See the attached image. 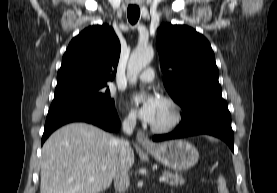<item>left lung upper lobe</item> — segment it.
Returning <instances> with one entry per match:
<instances>
[{"label": "left lung upper lobe", "mask_w": 277, "mask_h": 193, "mask_svg": "<svg viewBox=\"0 0 277 193\" xmlns=\"http://www.w3.org/2000/svg\"><path fill=\"white\" fill-rule=\"evenodd\" d=\"M156 47L164 85L183 114L201 100L222 98L214 52L203 35L185 25L163 24Z\"/></svg>", "instance_id": "obj_1"}]
</instances>
